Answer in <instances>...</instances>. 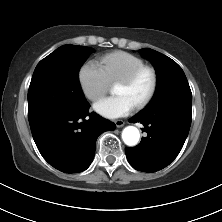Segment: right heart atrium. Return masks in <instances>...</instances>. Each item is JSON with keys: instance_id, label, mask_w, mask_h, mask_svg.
<instances>
[{"instance_id": "obj_1", "label": "right heart atrium", "mask_w": 222, "mask_h": 222, "mask_svg": "<svg viewBox=\"0 0 222 222\" xmlns=\"http://www.w3.org/2000/svg\"><path fill=\"white\" fill-rule=\"evenodd\" d=\"M79 82L83 94L90 101H96L102 97L110 87V81L105 71L94 60L87 61L81 66Z\"/></svg>"}]
</instances>
